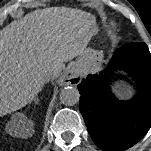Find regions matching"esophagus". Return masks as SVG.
<instances>
[{
	"label": "esophagus",
	"instance_id": "esophagus-1",
	"mask_svg": "<svg viewBox=\"0 0 151 151\" xmlns=\"http://www.w3.org/2000/svg\"><path fill=\"white\" fill-rule=\"evenodd\" d=\"M81 82V74L76 68L67 70L58 80L61 86H76Z\"/></svg>",
	"mask_w": 151,
	"mask_h": 151
}]
</instances>
